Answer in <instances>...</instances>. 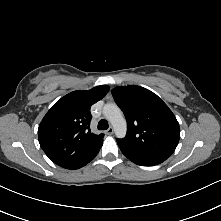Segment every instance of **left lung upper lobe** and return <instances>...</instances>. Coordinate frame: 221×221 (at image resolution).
I'll return each instance as SVG.
<instances>
[{
    "label": "left lung upper lobe",
    "instance_id": "5c2ea615",
    "mask_svg": "<svg viewBox=\"0 0 221 221\" xmlns=\"http://www.w3.org/2000/svg\"><path fill=\"white\" fill-rule=\"evenodd\" d=\"M127 119V135L121 144L171 156L180 139L179 123L168 106L150 90L119 86L111 91Z\"/></svg>",
    "mask_w": 221,
    "mask_h": 221
}]
</instances>
